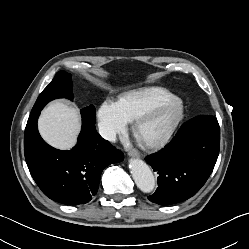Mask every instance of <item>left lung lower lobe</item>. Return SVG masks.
I'll use <instances>...</instances> for the list:
<instances>
[{
  "label": "left lung lower lobe",
  "instance_id": "obj_1",
  "mask_svg": "<svg viewBox=\"0 0 249 249\" xmlns=\"http://www.w3.org/2000/svg\"><path fill=\"white\" fill-rule=\"evenodd\" d=\"M219 147L216 118L197 116L184 123L163 150L145 158L159 174V187L148 199L169 205L192 197L212 173Z\"/></svg>",
  "mask_w": 249,
  "mask_h": 249
}]
</instances>
